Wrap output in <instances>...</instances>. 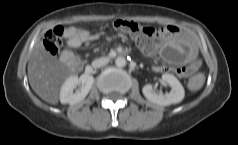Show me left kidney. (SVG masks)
<instances>
[{"instance_id": "5707ae66", "label": "left kidney", "mask_w": 238, "mask_h": 145, "mask_svg": "<svg viewBox=\"0 0 238 145\" xmlns=\"http://www.w3.org/2000/svg\"><path fill=\"white\" fill-rule=\"evenodd\" d=\"M162 79L172 87L170 93H156L152 85L146 84L142 89L144 96L149 101L162 106L181 102L184 99L185 91L180 81L174 75L167 73L162 75Z\"/></svg>"}]
</instances>
